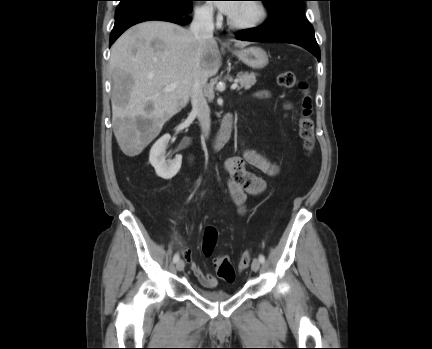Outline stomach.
<instances>
[{
  "instance_id": "stomach-1",
  "label": "stomach",
  "mask_w": 432,
  "mask_h": 349,
  "mask_svg": "<svg viewBox=\"0 0 432 349\" xmlns=\"http://www.w3.org/2000/svg\"><path fill=\"white\" fill-rule=\"evenodd\" d=\"M239 60L253 69L264 68L268 64L267 53L260 47H249L233 52Z\"/></svg>"
}]
</instances>
